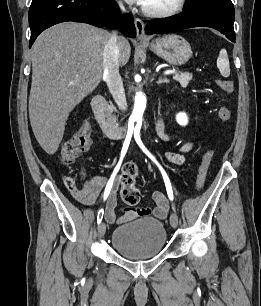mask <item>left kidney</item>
Masks as SVG:
<instances>
[{
	"label": "left kidney",
	"mask_w": 261,
	"mask_h": 306,
	"mask_svg": "<svg viewBox=\"0 0 261 306\" xmlns=\"http://www.w3.org/2000/svg\"><path fill=\"white\" fill-rule=\"evenodd\" d=\"M176 121L178 124L185 126L188 123V117L185 113H179L176 115Z\"/></svg>",
	"instance_id": "1"
}]
</instances>
